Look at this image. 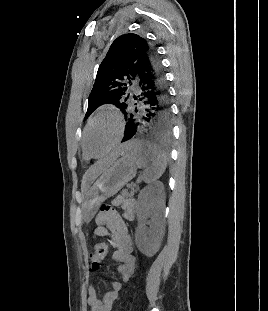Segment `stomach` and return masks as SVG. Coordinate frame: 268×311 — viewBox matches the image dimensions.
Listing matches in <instances>:
<instances>
[{
	"instance_id": "stomach-1",
	"label": "stomach",
	"mask_w": 268,
	"mask_h": 311,
	"mask_svg": "<svg viewBox=\"0 0 268 311\" xmlns=\"http://www.w3.org/2000/svg\"><path fill=\"white\" fill-rule=\"evenodd\" d=\"M130 148L128 147L124 155L115 160L87 191L83 205L85 222L91 221L102 202L114 196L136 176L135 153L131 155Z\"/></svg>"
}]
</instances>
